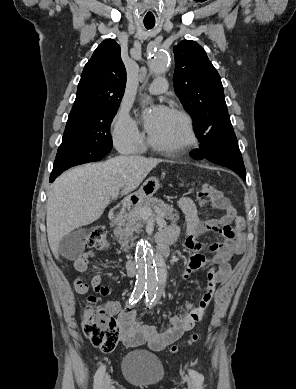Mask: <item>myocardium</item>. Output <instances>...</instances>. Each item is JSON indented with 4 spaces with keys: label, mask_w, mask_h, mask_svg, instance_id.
<instances>
[{
    "label": "myocardium",
    "mask_w": 296,
    "mask_h": 389,
    "mask_svg": "<svg viewBox=\"0 0 296 389\" xmlns=\"http://www.w3.org/2000/svg\"><path fill=\"white\" fill-rule=\"evenodd\" d=\"M169 111L177 115L182 120L184 125V130H185L184 139L175 144H161L156 142L150 135L148 138V142L151 145V147H153L156 150L165 153H170V154H177L186 151L187 149H189L195 144L196 133H195V128L193 125L192 118L188 113L174 107L170 108Z\"/></svg>",
    "instance_id": "myocardium-1"
}]
</instances>
